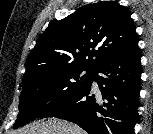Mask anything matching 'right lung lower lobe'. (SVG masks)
I'll return each instance as SVG.
<instances>
[{"label":"right lung lower lobe","instance_id":"right-lung-lower-lobe-1","mask_svg":"<svg viewBox=\"0 0 153 134\" xmlns=\"http://www.w3.org/2000/svg\"><path fill=\"white\" fill-rule=\"evenodd\" d=\"M141 54L138 44L97 65L89 82L40 118L71 121L89 134H133L141 89ZM99 92L92 93V82Z\"/></svg>","mask_w":153,"mask_h":134}]
</instances>
